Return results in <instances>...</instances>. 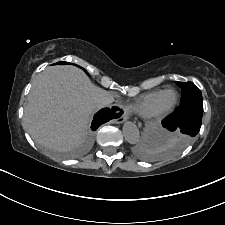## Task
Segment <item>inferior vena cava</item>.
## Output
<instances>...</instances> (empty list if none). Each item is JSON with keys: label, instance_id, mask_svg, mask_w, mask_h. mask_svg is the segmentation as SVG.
Returning a JSON list of instances; mask_svg holds the SVG:
<instances>
[{"label": "inferior vena cava", "instance_id": "1", "mask_svg": "<svg viewBox=\"0 0 225 225\" xmlns=\"http://www.w3.org/2000/svg\"><path fill=\"white\" fill-rule=\"evenodd\" d=\"M114 101L113 97H102L97 100L96 106L97 108L108 107Z\"/></svg>", "mask_w": 225, "mask_h": 225}]
</instances>
